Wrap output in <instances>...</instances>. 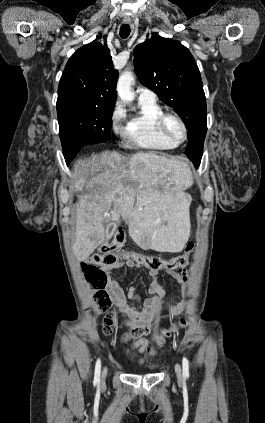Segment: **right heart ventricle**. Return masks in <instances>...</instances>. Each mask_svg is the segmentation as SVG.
Listing matches in <instances>:
<instances>
[{
	"label": "right heart ventricle",
	"instance_id": "e07e8e85",
	"mask_svg": "<svg viewBox=\"0 0 265 423\" xmlns=\"http://www.w3.org/2000/svg\"><path fill=\"white\" fill-rule=\"evenodd\" d=\"M138 112L131 116L122 131L126 144L151 151H169L178 144L165 138L158 129L162 107L154 101L139 100Z\"/></svg>",
	"mask_w": 265,
	"mask_h": 423
}]
</instances>
